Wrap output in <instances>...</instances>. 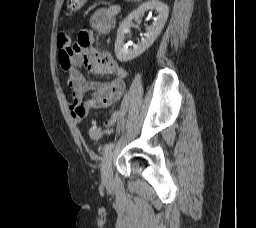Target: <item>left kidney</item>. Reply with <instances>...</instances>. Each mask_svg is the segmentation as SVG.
<instances>
[{"label":"left kidney","mask_w":256,"mask_h":228,"mask_svg":"<svg viewBox=\"0 0 256 228\" xmlns=\"http://www.w3.org/2000/svg\"><path fill=\"white\" fill-rule=\"evenodd\" d=\"M148 10H154L158 13V16L155 18L153 24L146 28L147 32L145 38H142L133 48H128L124 43V39L125 35L132 27V20L140 18ZM168 14V6L158 0H149L131 12L128 17L122 21L117 31V39L115 42V55L117 59L121 62H127L138 57L148 49L161 33L167 21Z\"/></svg>","instance_id":"obj_1"}]
</instances>
